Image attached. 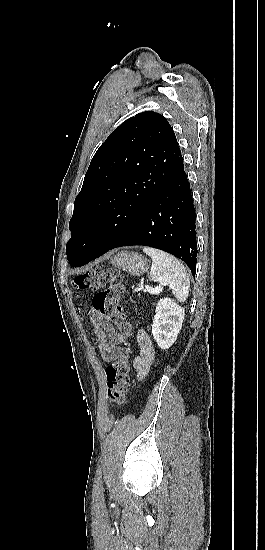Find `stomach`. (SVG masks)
I'll use <instances>...</instances> for the list:
<instances>
[{
	"label": "stomach",
	"mask_w": 265,
	"mask_h": 550,
	"mask_svg": "<svg viewBox=\"0 0 265 550\" xmlns=\"http://www.w3.org/2000/svg\"><path fill=\"white\" fill-rule=\"evenodd\" d=\"M111 264L134 276L147 271V260L136 252L121 251L111 259Z\"/></svg>",
	"instance_id": "obj_1"
}]
</instances>
